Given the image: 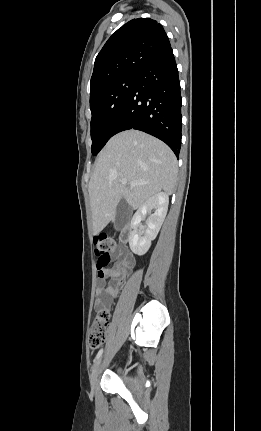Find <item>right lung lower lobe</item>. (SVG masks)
Masks as SVG:
<instances>
[{"label": "right lung lower lobe", "mask_w": 261, "mask_h": 431, "mask_svg": "<svg viewBox=\"0 0 261 431\" xmlns=\"http://www.w3.org/2000/svg\"><path fill=\"white\" fill-rule=\"evenodd\" d=\"M181 105L178 69L170 47L138 73L113 135L128 129L144 131L165 142L179 158Z\"/></svg>", "instance_id": "obj_1"}]
</instances>
